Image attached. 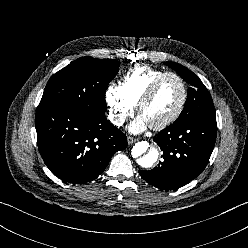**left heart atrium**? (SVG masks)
Instances as JSON below:
<instances>
[{"label": "left heart atrium", "mask_w": 248, "mask_h": 248, "mask_svg": "<svg viewBox=\"0 0 248 248\" xmlns=\"http://www.w3.org/2000/svg\"><path fill=\"white\" fill-rule=\"evenodd\" d=\"M149 126L147 120L142 116H138L130 125L129 131L132 133H140Z\"/></svg>", "instance_id": "39dd6f15"}]
</instances>
